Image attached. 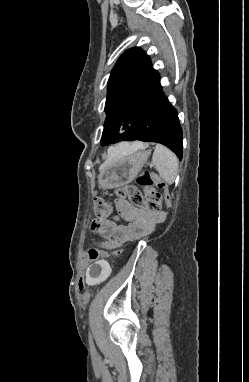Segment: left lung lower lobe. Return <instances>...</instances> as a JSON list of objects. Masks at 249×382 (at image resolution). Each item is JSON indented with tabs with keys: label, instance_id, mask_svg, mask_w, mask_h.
Listing matches in <instances>:
<instances>
[{
	"label": "left lung lower lobe",
	"instance_id": "left-lung-lower-lobe-1",
	"mask_svg": "<svg viewBox=\"0 0 249 382\" xmlns=\"http://www.w3.org/2000/svg\"><path fill=\"white\" fill-rule=\"evenodd\" d=\"M182 138L178 113L171 106L161 87L143 115L132 127L118 135L112 143L134 140L157 142L167 146L181 160Z\"/></svg>",
	"mask_w": 249,
	"mask_h": 382
}]
</instances>
